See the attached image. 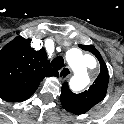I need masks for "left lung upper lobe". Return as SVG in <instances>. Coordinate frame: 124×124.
Masks as SVG:
<instances>
[{
    "instance_id": "1",
    "label": "left lung upper lobe",
    "mask_w": 124,
    "mask_h": 124,
    "mask_svg": "<svg viewBox=\"0 0 124 124\" xmlns=\"http://www.w3.org/2000/svg\"><path fill=\"white\" fill-rule=\"evenodd\" d=\"M81 49L94 54L100 63V74L90 88L80 94L71 92L65 82L61 89V104L67 111L80 115L86 113L94 105L102 101L106 95L109 75L105 62L99 51L93 45H79Z\"/></svg>"
}]
</instances>
